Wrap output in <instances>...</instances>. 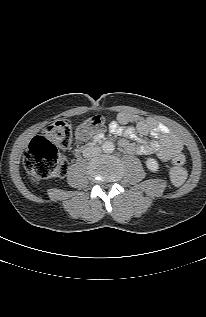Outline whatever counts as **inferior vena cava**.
<instances>
[{
  "label": "inferior vena cava",
  "mask_w": 206,
  "mask_h": 317,
  "mask_svg": "<svg viewBox=\"0 0 206 317\" xmlns=\"http://www.w3.org/2000/svg\"><path fill=\"white\" fill-rule=\"evenodd\" d=\"M101 152L100 147L94 146V145H89L86 146L83 150V156L85 158H90L98 155Z\"/></svg>",
  "instance_id": "1"
}]
</instances>
